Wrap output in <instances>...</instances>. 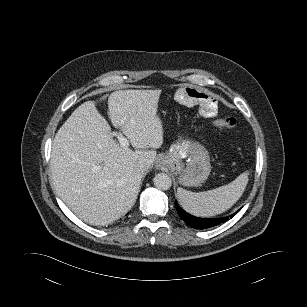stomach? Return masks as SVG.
Listing matches in <instances>:
<instances>
[{
	"instance_id": "obj_1",
	"label": "stomach",
	"mask_w": 307,
	"mask_h": 307,
	"mask_svg": "<svg viewBox=\"0 0 307 307\" xmlns=\"http://www.w3.org/2000/svg\"><path fill=\"white\" fill-rule=\"evenodd\" d=\"M186 157L189 160L185 164L183 159ZM157 167L178 174L179 183L184 186H197L205 182L211 172L209 152L187 133H183L171 149L158 158Z\"/></svg>"
}]
</instances>
